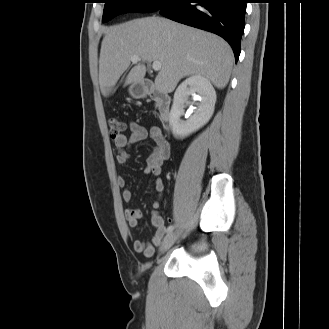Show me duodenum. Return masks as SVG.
<instances>
[{"label": "duodenum", "mask_w": 329, "mask_h": 329, "mask_svg": "<svg viewBox=\"0 0 329 329\" xmlns=\"http://www.w3.org/2000/svg\"><path fill=\"white\" fill-rule=\"evenodd\" d=\"M141 92L155 101L159 118L166 123L170 117V96L158 89L151 80H145L142 83Z\"/></svg>", "instance_id": "410a0bca"}]
</instances>
